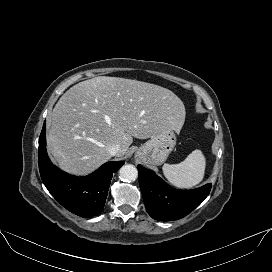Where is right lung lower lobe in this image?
Masks as SVG:
<instances>
[{"instance_id": "98d812e1", "label": "right lung lower lobe", "mask_w": 272, "mask_h": 272, "mask_svg": "<svg viewBox=\"0 0 272 272\" xmlns=\"http://www.w3.org/2000/svg\"><path fill=\"white\" fill-rule=\"evenodd\" d=\"M46 123L39 138L38 161L42 181L52 196L70 212L85 218L103 210L110 180L124 161L107 162L87 177L69 175L49 160L46 152Z\"/></svg>"}]
</instances>
